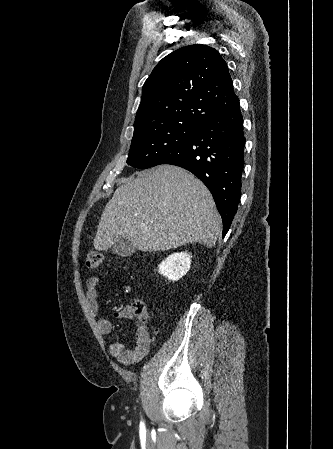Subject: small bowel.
<instances>
[{"mask_svg": "<svg viewBox=\"0 0 333 449\" xmlns=\"http://www.w3.org/2000/svg\"><path fill=\"white\" fill-rule=\"evenodd\" d=\"M99 279L91 277L86 283L87 305L90 314L96 319L97 329L100 334L107 335L112 330V323L105 317H99ZM120 319H132L130 306L125 307L115 314ZM154 338L148 328L139 327L135 333V342L131 348H126L120 342L109 345L108 351L118 362L124 365L135 364L142 360L150 351Z\"/></svg>", "mask_w": 333, "mask_h": 449, "instance_id": "c3829d8e", "label": "small bowel"}]
</instances>
